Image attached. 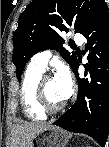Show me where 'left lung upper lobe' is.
<instances>
[{
	"instance_id": "1",
	"label": "left lung upper lobe",
	"mask_w": 109,
	"mask_h": 147,
	"mask_svg": "<svg viewBox=\"0 0 109 147\" xmlns=\"http://www.w3.org/2000/svg\"><path fill=\"white\" fill-rule=\"evenodd\" d=\"M104 0H34L20 15L18 28L13 36V62L19 79L27 61L37 52L58 50L64 60L74 69L77 64L75 54L69 53L62 44L61 31H69L73 26L81 33L90 22ZM90 84L99 86V75L90 77Z\"/></svg>"
}]
</instances>
